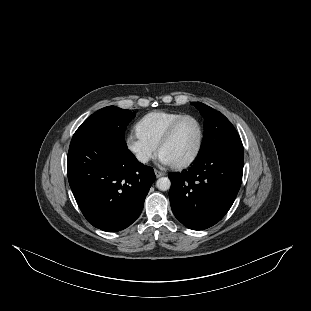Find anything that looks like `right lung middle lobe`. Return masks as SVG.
Wrapping results in <instances>:
<instances>
[{
    "mask_svg": "<svg viewBox=\"0 0 311 311\" xmlns=\"http://www.w3.org/2000/svg\"><path fill=\"white\" fill-rule=\"evenodd\" d=\"M134 116L135 113L116 106L102 108L80 125L72 137L70 146L93 137L106 138L120 144H126L124 133Z\"/></svg>",
    "mask_w": 311,
    "mask_h": 311,
    "instance_id": "1",
    "label": "right lung middle lobe"
}]
</instances>
